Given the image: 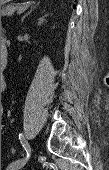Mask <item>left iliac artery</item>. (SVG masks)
<instances>
[{
    "instance_id": "44dca946",
    "label": "left iliac artery",
    "mask_w": 109,
    "mask_h": 170,
    "mask_svg": "<svg viewBox=\"0 0 109 170\" xmlns=\"http://www.w3.org/2000/svg\"><path fill=\"white\" fill-rule=\"evenodd\" d=\"M19 139H20V142H21L22 146L24 147L27 155H29L30 146H29L28 142L25 140V138H24L22 133L19 134Z\"/></svg>"
}]
</instances>
